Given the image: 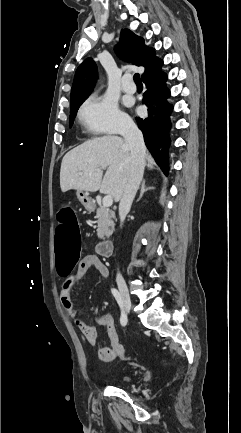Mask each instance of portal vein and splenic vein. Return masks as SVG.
<instances>
[{
	"mask_svg": "<svg viewBox=\"0 0 241 433\" xmlns=\"http://www.w3.org/2000/svg\"><path fill=\"white\" fill-rule=\"evenodd\" d=\"M80 174H82V173H80ZM102 204H103L104 207H110V206H112V204H113V198H112V196H110V195L105 196L103 198V200H102Z\"/></svg>",
	"mask_w": 241,
	"mask_h": 433,
	"instance_id": "obj_1",
	"label": "portal vein and splenic vein"
}]
</instances>
